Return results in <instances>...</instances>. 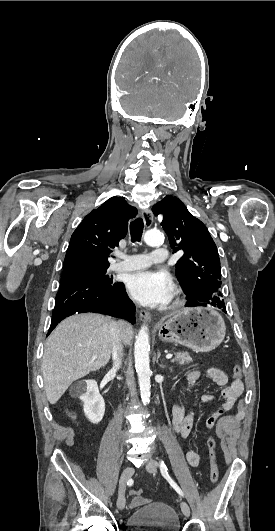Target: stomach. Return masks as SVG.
<instances>
[{
	"instance_id": "stomach-1",
	"label": "stomach",
	"mask_w": 275,
	"mask_h": 531,
	"mask_svg": "<svg viewBox=\"0 0 275 531\" xmlns=\"http://www.w3.org/2000/svg\"><path fill=\"white\" fill-rule=\"evenodd\" d=\"M156 329L163 343L183 345L195 353L213 351L226 335L224 319L210 307L182 309L168 319H161Z\"/></svg>"
}]
</instances>
